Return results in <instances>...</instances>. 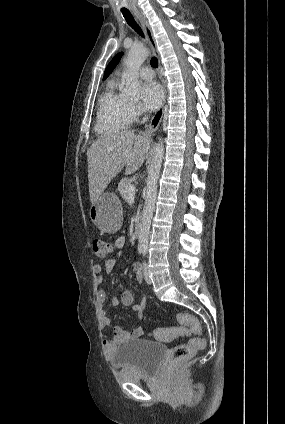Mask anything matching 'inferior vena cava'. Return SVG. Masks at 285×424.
Instances as JSON below:
<instances>
[{
    "mask_svg": "<svg viewBox=\"0 0 285 424\" xmlns=\"http://www.w3.org/2000/svg\"><path fill=\"white\" fill-rule=\"evenodd\" d=\"M148 119V116H145L142 120V122H145Z\"/></svg>",
    "mask_w": 285,
    "mask_h": 424,
    "instance_id": "obj_1",
    "label": "inferior vena cava"
}]
</instances>
